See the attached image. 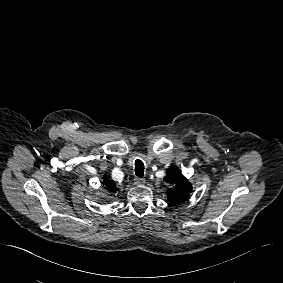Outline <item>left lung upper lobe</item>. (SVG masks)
<instances>
[{"label":"left lung upper lobe","instance_id":"obj_1","mask_svg":"<svg viewBox=\"0 0 283 283\" xmlns=\"http://www.w3.org/2000/svg\"><path fill=\"white\" fill-rule=\"evenodd\" d=\"M164 181L173 187L168 189V201L170 204H180L189 198L191 192V184L183 177L176 167H172L167 171Z\"/></svg>","mask_w":283,"mask_h":283}]
</instances>
